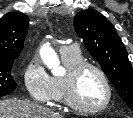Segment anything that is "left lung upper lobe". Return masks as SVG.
I'll list each match as a JSON object with an SVG mask.
<instances>
[{"label":"left lung upper lobe","instance_id":"5c2ea615","mask_svg":"<svg viewBox=\"0 0 133 118\" xmlns=\"http://www.w3.org/2000/svg\"><path fill=\"white\" fill-rule=\"evenodd\" d=\"M73 25L122 100L133 110V69L126 48L114 26L93 9L78 12Z\"/></svg>","mask_w":133,"mask_h":118}]
</instances>
